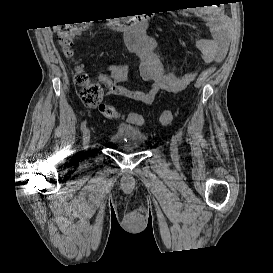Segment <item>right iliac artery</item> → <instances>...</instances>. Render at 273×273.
Wrapping results in <instances>:
<instances>
[{"instance_id":"82829eb1","label":"right iliac artery","mask_w":273,"mask_h":273,"mask_svg":"<svg viewBox=\"0 0 273 273\" xmlns=\"http://www.w3.org/2000/svg\"><path fill=\"white\" fill-rule=\"evenodd\" d=\"M86 129V121H83L81 123V131H84Z\"/></svg>"}]
</instances>
